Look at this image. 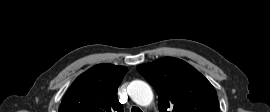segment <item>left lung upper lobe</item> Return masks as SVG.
Returning <instances> with one entry per match:
<instances>
[{
  "label": "left lung upper lobe",
  "instance_id": "5c2ea615",
  "mask_svg": "<svg viewBox=\"0 0 270 112\" xmlns=\"http://www.w3.org/2000/svg\"><path fill=\"white\" fill-rule=\"evenodd\" d=\"M137 69L158 93L160 112H220L214 87L183 60L164 57Z\"/></svg>",
  "mask_w": 270,
  "mask_h": 112
}]
</instances>
